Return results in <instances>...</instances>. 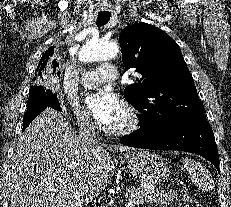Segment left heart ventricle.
<instances>
[{
	"label": "left heart ventricle",
	"instance_id": "obj_1",
	"mask_svg": "<svg viewBox=\"0 0 231 207\" xmlns=\"http://www.w3.org/2000/svg\"><path fill=\"white\" fill-rule=\"evenodd\" d=\"M127 122V114L125 111L108 127L111 128H118L120 126H123Z\"/></svg>",
	"mask_w": 231,
	"mask_h": 207
}]
</instances>
